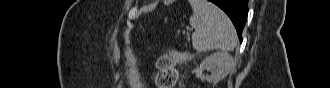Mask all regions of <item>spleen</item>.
<instances>
[{"label": "spleen", "mask_w": 330, "mask_h": 88, "mask_svg": "<svg viewBox=\"0 0 330 88\" xmlns=\"http://www.w3.org/2000/svg\"><path fill=\"white\" fill-rule=\"evenodd\" d=\"M193 9L190 25L195 28L192 34L193 47L197 52L210 50L231 51L236 46V30L229 17L216 5L207 0H189ZM177 63L191 60L189 53L171 51Z\"/></svg>", "instance_id": "3e777b00"}]
</instances>
